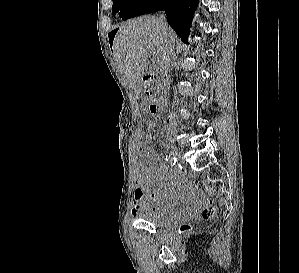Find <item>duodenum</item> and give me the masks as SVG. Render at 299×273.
<instances>
[{
  "label": "duodenum",
  "instance_id": "410a0bca",
  "mask_svg": "<svg viewBox=\"0 0 299 273\" xmlns=\"http://www.w3.org/2000/svg\"><path fill=\"white\" fill-rule=\"evenodd\" d=\"M152 79H153L152 75H147L144 78L146 83L145 95L149 101L150 112L157 117H162L163 116L162 100L159 96H157L150 90V82L152 81Z\"/></svg>",
  "mask_w": 299,
  "mask_h": 273
}]
</instances>
